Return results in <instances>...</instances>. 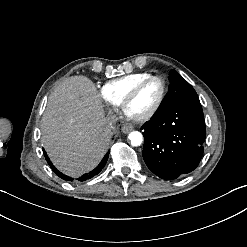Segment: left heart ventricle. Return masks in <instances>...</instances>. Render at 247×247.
Instances as JSON below:
<instances>
[{"label": "left heart ventricle", "instance_id": "b2bd125f", "mask_svg": "<svg viewBox=\"0 0 247 247\" xmlns=\"http://www.w3.org/2000/svg\"><path fill=\"white\" fill-rule=\"evenodd\" d=\"M162 92L159 81L150 80L139 90L136 98L128 105L127 110L134 117H140L151 111L158 103Z\"/></svg>", "mask_w": 247, "mask_h": 247}]
</instances>
